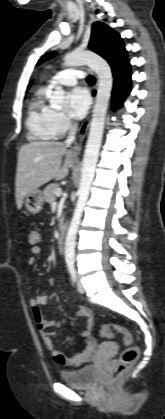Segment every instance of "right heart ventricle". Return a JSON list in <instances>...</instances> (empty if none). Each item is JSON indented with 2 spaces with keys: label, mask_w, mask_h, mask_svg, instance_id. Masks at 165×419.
I'll list each match as a JSON object with an SVG mask.
<instances>
[{
  "label": "right heart ventricle",
  "mask_w": 165,
  "mask_h": 419,
  "mask_svg": "<svg viewBox=\"0 0 165 419\" xmlns=\"http://www.w3.org/2000/svg\"><path fill=\"white\" fill-rule=\"evenodd\" d=\"M46 88L33 94L27 110L26 128L31 140L49 141L58 135L53 124L54 110L46 103Z\"/></svg>",
  "instance_id": "1"
}]
</instances>
